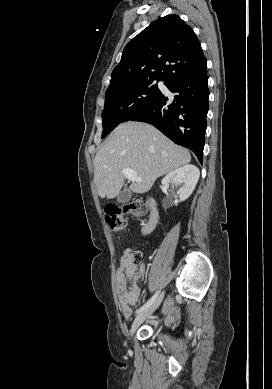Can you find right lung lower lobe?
Returning <instances> with one entry per match:
<instances>
[{
    "label": "right lung lower lobe",
    "instance_id": "1",
    "mask_svg": "<svg viewBox=\"0 0 272 389\" xmlns=\"http://www.w3.org/2000/svg\"><path fill=\"white\" fill-rule=\"evenodd\" d=\"M165 86L175 93L173 101L160 92L130 120L152 124L173 142L192 150L202 163L209 109L206 58L171 76Z\"/></svg>",
    "mask_w": 272,
    "mask_h": 389
}]
</instances>
